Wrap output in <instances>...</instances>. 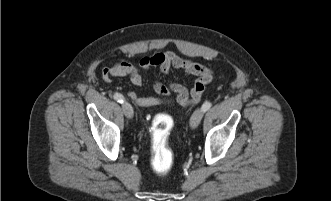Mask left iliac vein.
Wrapping results in <instances>:
<instances>
[{
    "label": "left iliac vein",
    "instance_id": "4c4485c4",
    "mask_svg": "<svg viewBox=\"0 0 331 201\" xmlns=\"http://www.w3.org/2000/svg\"><path fill=\"white\" fill-rule=\"evenodd\" d=\"M203 115H204V111L202 108H199L194 111V113L190 118V127L192 129H195L199 125L201 119L203 118Z\"/></svg>",
    "mask_w": 331,
    "mask_h": 201
}]
</instances>
